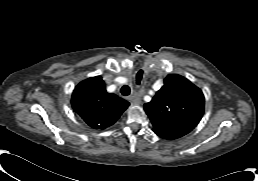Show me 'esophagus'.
Returning a JSON list of instances; mask_svg holds the SVG:
<instances>
[{"mask_svg":"<svg viewBox=\"0 0 258 181\" xmlns=\"http://www.w3.org/2000/svg\"><path fill=\"white\" fill-rule=\"evenodd\" d=\"M129 100H130L132 103H134V104H140V102H141V99H140V97L138 96L137 93H134L133 95H131V96L129 97Z\"/></svg>","mask_w":258,"mask_h":181,"instance_id":"esophagus-1","label":"esophagus"}]
</instances>
